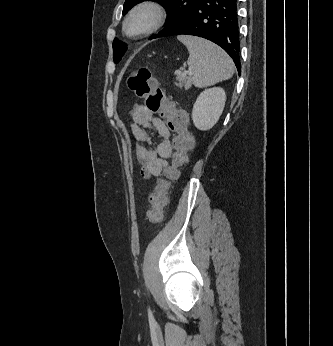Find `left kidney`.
<instances>
[{
    "mask_svg": "<svg viewBox=\"0 0 333 346\" xmlns=\"http://www.w3.org/2000/svg\"><path fill=\"white\" fill-rule=\"evenodd\" d=\"M226 101V93L220 87L205 89L198 96L192 111V120L199 130L211 129L219 120Z\"/></svg>",
    "mask_w": 333,
    "mask_h": 346,
    "instance_id": "left-kidney-1",
    "label": "left kidney"
}]
</instances>
